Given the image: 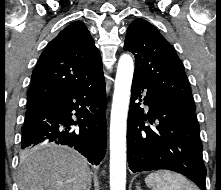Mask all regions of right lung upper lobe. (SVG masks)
<instances>
[{
    "label": "right lung upper lobe",
    "mask_w": 221,
    "mask_h": 190,
    "mask_svg": "<svg viewBox=\"0 0 221 190\" xmlns=\"http://www.w3.org/2000/svg\"><path fill=\"white\" fill-rule=\"evenodd\" d=\"M103 74L102 59L87 27L75 21L45 48L32 73L27 106H37Z\"/></svg>",
    "instance_id": "right-lung-upper-lobe-1"
}]
</instances>
